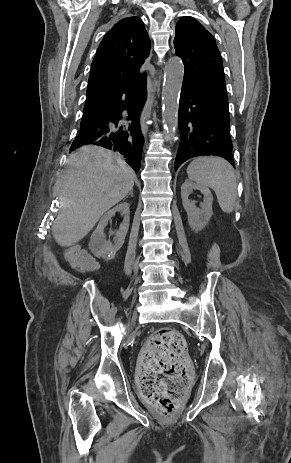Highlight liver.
Masks as SVG:
<instances>
[{"mask_svg":"<svg viewBox=\"0 0 291 463\" xmlns=\"http://www.w3.org/2000/svg\"><path fill=\"white\" fill-rule=\"evenodd\" d=\"M57 185L60 214L53 233L60 246L82 240L100 217L133 189L134 172L117 154L102 147H81L68 158Z\"/></svg>","mask_w":291,"mask_h":463,"instance_id":"liver-1","label":"liver"}]
</instances>
